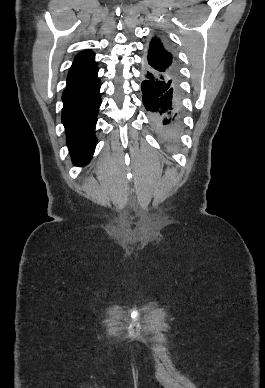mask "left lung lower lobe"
Instances as JSON below:
<instances>
[{
	"instance_id": "left-lung-lower-lobe-1",
	"label": "left lung lower lobe",
	"mask_w": 265,
	"mask_h": 388,
	"mask_svg": "<svg viewBox=\"0 0 265 388\" xmlns=\"http://www.w3.org/2000/svg\"><path fill=\"white\" fill-rule=\"evenodd\" d=\"M141 90L155 132L163 139L174 140L181 124L179 81L145 64Z\"/></svg>"
}]
</instances>
